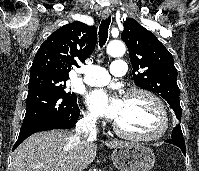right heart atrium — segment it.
Here are the masks:
<instances>
[{"label": "right heart atrium", "instance_id": "d8ad5b80", "mask_svg": "<svg viewBox=\"0 0 199 171\" xmlns=\"http://www.w3.org/2000/svg\"><path fill=\"white\" fill-rule=\"evenodd\" d=\"M84 120L91 125H96L97 123L96 115L89 111L84 113Z\"/></svg>", "mask_w": 199, "mask_h": 171}]
</instances>
